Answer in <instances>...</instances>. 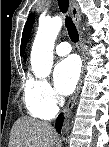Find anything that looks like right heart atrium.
<instances>
[{
	"label": "right heart atrium",
	"mask_w": 109,
	"mask_h": 147,
	"mask_svg": "<svg viewBox=\"0 0 109 147\" xmlns=\"http://www.w3.org/2000/svg\"><path fill=\"white\" fill-rule=\"evenodd\" d=\"M27 95L48 112L56 113L59 109V97L46 80L33 81L27 90Z\"/></svg>",
	"instance_id": "1"
}]
</instances>
